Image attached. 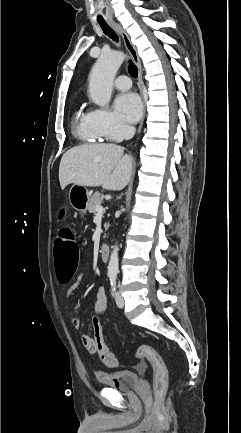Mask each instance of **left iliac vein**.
I'll return each mask as SVG.
<instances>
[{
    "mask_svg": "<svg viewBox=\"0 0 241 433\" xmlns=\"http://www.w3.org/2000/svg\"><path fill=\"white\" fill-rule=\"evenodd\" d=\"M115 300H116V304L119 308H122L124 306V298L122 297V295L119 291L116 292Z\"/></svg>",
    "mask_w": 241,
    "mask_h": 433,
    "instance_id": "obj_1",
    "label": "left iliac vein"
}]
</instances>
